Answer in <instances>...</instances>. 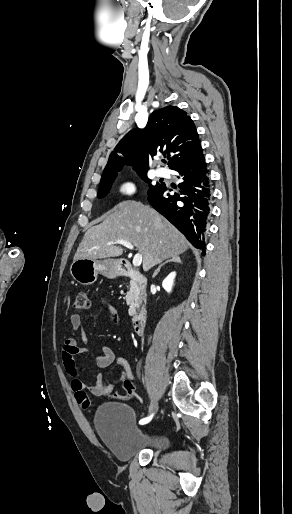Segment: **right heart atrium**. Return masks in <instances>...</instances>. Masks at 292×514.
<instances>
[{
    "instance_id": "right-heart-atrium-1",
    "label": "right heart atrium",
    "mask_w": 292,
    "mask_h": 514,
    "mask_svg": "<svg viewBox=\"0 0 292 514\" xmlns=\"http://www.w3.org/2000/svg\"><path fill=\"white\" fill-rule=\"evenodd\" d=\"M137 183L131 178L118 181L114 187V193L118 200H128L137 192Z\"/></svg>"
}]
</instances>
